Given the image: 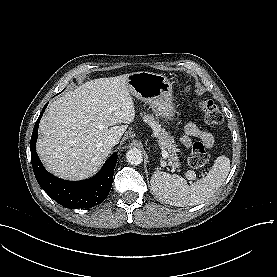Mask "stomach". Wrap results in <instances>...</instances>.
<instances>
[{"label": "stomach", "instance_id": "stomach-1", "mask_svg": "<svg viewBox=\"0 0 277 277\" xmlns=\"http://www.w3.org/2000/svg\"><path fill=\"white\" fill-rule=\"evenodd\" d=\"M129 92L137 99L150 104L157 116L172 121L175 115L172 83L164 75L148 71L129 74L127 79Z\"/></svg>", "mask_w": 277, "mask_h": 277}]
</instances>
